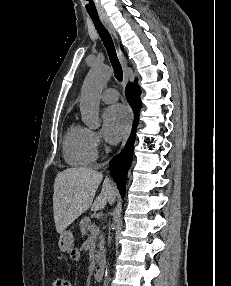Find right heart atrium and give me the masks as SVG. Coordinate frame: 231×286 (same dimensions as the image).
Wrapping results in <instances>:
<instances>
[{
	"mask_svg": "<svg viewBox=\"0 0 231 286\" xmlns=\"http://www.w3.org/2000/svg\"><path fill=\"white\" fill-rule=\"evenodd\" d=\"M91 137H92V141L95 147L101 145V137L98 132L91 131Z\"/></svg>",
	"mask_w": 231,
	"mask_h": 286,
	"instance_id": "obj_1",
	"label": "right heart atrium"
}]
</instances>
